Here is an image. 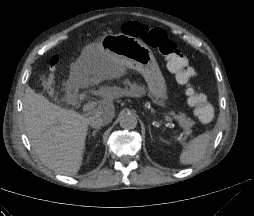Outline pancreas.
I'll return each instance as SVG.
<instances>
[{"instance_id": "1", "label": "pancreas", "mask_w": 254, "mask_h": 216, "mask_svg": "<svg viewBox=\"0 0 254 216\" xmlns=\"http://www.w3.org/2000/svg\"><path fill=\"white\" fill-rule=\"evenodd\" d=\"M131 89L137 91L140 90V88L135 87L134 85H131ZM170 115H172L173 118L177 120L180 126L184 129L182 138L185 140L189 135H191L192 127L195 124L194 121L188 118L184 113L175 114L174 112H171Z\"/></svg>"}]
</instances>
